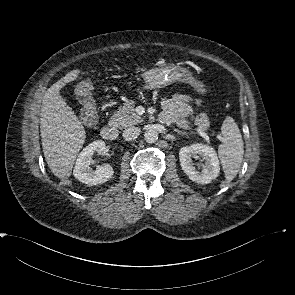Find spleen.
<instances>
[{
  "instance_id": "spleen-1",
  "label": "spleen",
  "mask_w": 295,
  "mask_h": 295,
  "mask_svg": "<svg viewBox=\"0 0 295 295\" xmlns=\"http://www.w3.org/2000/svg\"><path fill=\"white\" fill-rule=\"evenodd\" d=\"M221 133L223 139L218 149V155L226 182H231L238 174L243 160V140L236 122L230 116L223 121Z\"/></svg>"
}]
</instances>
